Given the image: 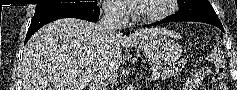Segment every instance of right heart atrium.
<instances>
[{
  "instance_id": "obj_1",
  "label": "right heart atrium",
  "mask_w": 237,
  "mask_h": 90,
  "mask_svg": "<svg viewBox=\"0 0 237 90\" xmlns=\"http://www.w3.org/2000/svg\"><path fill=\"white\" fill-rule=\"evenodd\" d=\"M103 6H107V13L109 14V16H111L114 19H122L125 14H126V10L123 6H121L120 4H114L112 6L111 2H102Z\"/></svg>"
}]
</instances>
